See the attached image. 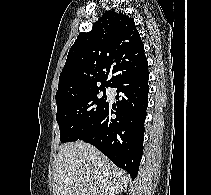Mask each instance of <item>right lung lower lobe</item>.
Wrapping results in <instances>:
<instances>
[{"mask_svg": "<svg viewBox=\"0 0 211 195\" xmlns=\"http://www.w3.org/2000/svg\"><path fill=\"white\" fill-rule=\"evenodd\" d=\"M147 66L122 76L112 87L119 92L116 105L101 116L78 140L90 143L135 179L143 153L144 121L148 105ZM113 114L116 115L113 116Z\"/></svg>", "mask_w": 211, "mask_h": 195, "instance_id": "98d812e1", "label": "right lung lower lobe"}]
</instances>
